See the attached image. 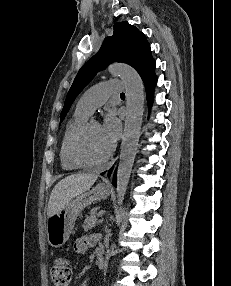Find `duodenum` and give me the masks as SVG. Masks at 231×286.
<instances>
[{
	"instance_id": "410a0bca",
	"label": "duodenum",
	"mask_w": 231,
	"mask_h": 286,
	"mask_svg": "<svg viewBox=\"0 0 231 286\" xmlns=\"http://www.w3.org/2000/svg\"><path fill=\"white\" fill-rule=\"evenodd\" d=\"M96 261H97L98 268L103 269L104 262H105V255H104V251L101 248H98L96 250Z\"/></svg>"
}]
</instances>
